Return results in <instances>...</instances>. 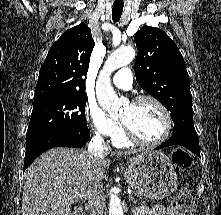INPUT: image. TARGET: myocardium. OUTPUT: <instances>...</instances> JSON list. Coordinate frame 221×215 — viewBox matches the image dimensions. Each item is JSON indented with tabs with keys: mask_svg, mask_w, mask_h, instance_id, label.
I'll return each mask as SVG.
<instances>
[{
	"mask_svg": "<svg viewBox=\"0 0 221 215\" xmlns=\"http://www.w3.org/2000/svg\"><path fill=\"white\" fill-rule=\"evenodd\" d=\"M143 101H150L152 103H154L162 112L164 120H165V128H164V132L163 134L156 140L154 141H147L144 140L140 137H138L130 128L129 126L121 120V125L123 128V133L124 136L127 138L128 141L140 145V146H145V147H155L158 146L162 143H164L168 137L170 136V133L172 131V127H173V121H172V117L171 114L168 110V108L156 97L152 96V95H140L137 96L133 99L131 104H137Z\"/></svg>",
	"mask_w": 221,
	"mask_h": 215,
	"instance_id": "myocardium-1",
	"label": "myocardium"
}]
</instances>
